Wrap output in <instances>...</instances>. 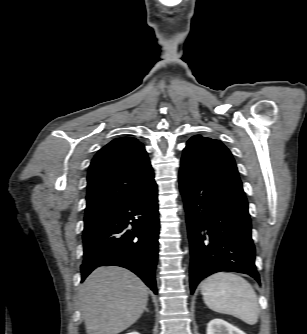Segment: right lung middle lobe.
Here are the masks:
<instances>
[{"mask_svg":"<svg viewBox=\"0 0 307 334\" xmlns=\"http://www.w3.org/2000/svg\"><path fill=\"white\" fill-rule=\"evenodd\" d=\"M103 215L89 216L84 219V231L91 229L95 226L101 219Z\"/></svg>","mask_w":307,"mask_h":334,"instance_id":"dd1d6c3e","label":"right lung middle lobe"}]
</instances>
